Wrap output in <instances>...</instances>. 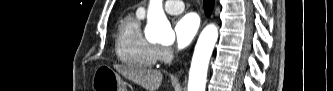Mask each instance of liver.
<instances>
[{
  "instance_id": "6515ba94",
  "label": "liver",
  "mask_w": 333,
  "mask_h": 91,
  "mask_svg": "<svg viewBox=\"0 0 333 91\" xmlns=\"http://www.w3.org/2000/svg\"><path fill=\"white\" fill-rule=\"evenodd\" d=\"M113 67L122 76L142 86L147 91H157L162 83L163 75L158 70L143 69L119 64H115Z\"/></svg>"
}]
</instances>
